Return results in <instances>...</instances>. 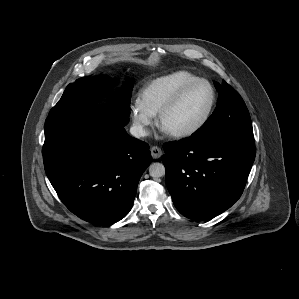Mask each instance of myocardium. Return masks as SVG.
I'll use <instances>...</instances> for the list:
<instances>
[{
  "label": "myocardium",
  "mask_w": 299,
  "mask_h": 299,
  "mask_svg": "<svg viewBox=\"0 0 299 299\" xmlns=\"http://www.w3.org/2000/svg\"><path fill=\"white\" fill-rule=\"evenodd\" d=\"M199 84L207 85L210 90V93H211L210 103L208 105V108H207L205 114L203 115L201 120L194 126L188 128L186 130L168 133L170 136H172L174 138H178V139L193 136L196 133H198L200 130H202L205 127V125L208 123V121L213 113L215 104H216L217 95H216L215 88L208 80L203 79V78H198V79L191 81V82L185 84L184 86H182L173 95V97L162 107V109L158 113V125L162 128V122H163L165 116L180 102V100L183 98V96L191 88H193Z\"/></svg>",
  "instance_id": "f54148a6"
}]
</instances>
